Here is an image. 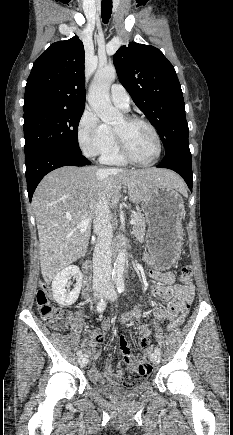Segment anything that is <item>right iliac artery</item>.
<instances>
[{
	"label": "right iliac artery",
	"instance_id": "obj_1",
	"mask_svg": "<svg viewBox=\"0 0 233 435\" xmlns=\"http://www.w3.org/2000/svg\"><path fill=\"white\" fill-rule=\"evenodd\" d=\"M116 279H112V281H115ZM105 308H106V301H105V299H101L99 302H98V304H97V311L98 312H103L104 310H105ZM77 355L78 356H81L82 355V351L81 350H78L77 351Z\"/></svg>",
	"mask_w": 233,
	"mask_h": 435
}]
</instances>
